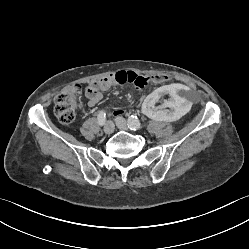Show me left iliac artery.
I'll return each mask as SVG.
<instances>
[{
  "mask_svg": "<svg viewBox=\"0 0 249 249\" xmlns=\"http://www.w3.org/2000/svg\"><path fill=\"white\" fill-rule=\"evenodd\" d=\"M127 125L131 130H138L141 128V124L136 116H130Z\"/></svg>",
  "mask_w": 249,
  "mask_h": 249,
  "instance_id": "obj_1",
  "label": "left iliac artery"
}]
</instances>
